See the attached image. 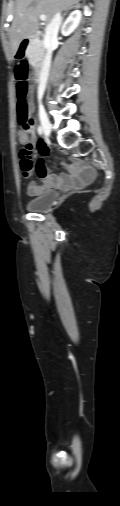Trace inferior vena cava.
Listing matches in <instances>:
<instances>
[{
  "label": "inferior vena cava",
  "instance_id": "obj_1",
  "mask_svg": "<svg viewBox=\"0 0 120 506\" xmlns=\"http://www.w3.org/2000/svg\"><path fill=\"white\" fill-rule=\"evenodd\" d=\"M62 23V17L59 12H57L50 23L46 26L45 36H44V44L46 48V55L43 61L41 73H40V83L38 86V99L41 100L45 91L46 81L50 69L51 57L54 44L57 40V35L59 28Z\"/></svg>",
  "mask_w": 120,
  "mask_h": 506
}]
</instances>
